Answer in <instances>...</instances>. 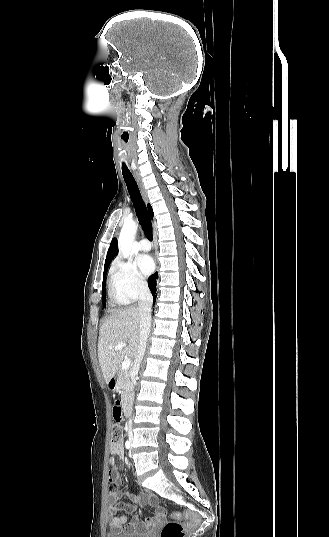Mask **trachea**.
<instances>
[{"mask_svg":"<svg viewBox=\"0 0 329 537\" xmlns=\"http://www.w3.org/2000/svg\"><path fill=\"white\" fill-rule=\"evenodd\" d=\"M122 174H123V178L125 180L127 189L129 191L130 198L135 207L136 215L142 226V229L144 233L146 234V236L152 240L153 239L152 224L150 221V217H149L146 205L142 199L137 182L135 181L133 175L131 174L130 170L125 164H122Z\"/></svg>","mask_w":329,"mask_h":537,"instance_id":"trachea-1","label":"trachea"}]
</instances>
